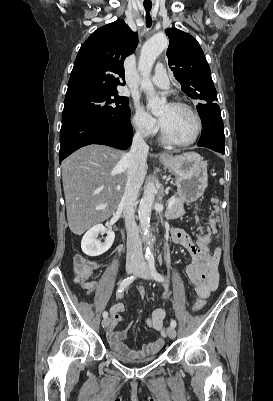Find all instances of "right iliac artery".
I'll list each match as a JSON object with an SVG mask.
<instances>
[{
	"label": "right iliac artery",
	"mask_w": 273,
	"mask_h": 401,
	"mask_svg": "<svg viewBox=\"0 0 273 401\" xmlns=\"http://www.w3.org/2000/svg\"><path fill=\"white\" fill-rule=\"evenodd\" d=\"M139 275H133L130 277L125 278L117 291V293H121L126 287H128ZM108 316V313L106 311L103 312V317L106 318Z\"/></svg>",
	"instance_id": "1"
}]
</instances>
